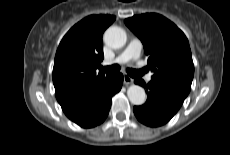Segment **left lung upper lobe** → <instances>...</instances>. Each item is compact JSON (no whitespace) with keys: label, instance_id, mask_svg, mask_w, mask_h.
I'll list each match as a JSON object with an SVG mask.
<instances>
[{"label":"left lung upper lobe","instance_id":"1","mask_svg":"<svg viewBox=\"0 0 230 155\" xmlns=\"http://www.w3.org/2000/svg\"><path fill=\"white\" fill-rule=\"evenodd\" d=\"M124 22L143 43L148 65L154 73L151 81L186 98L191 89L194 65L184 33L156 13L136 15Z\"/></svg>","mask_w":230,"mask_h":155}]
</instances>
